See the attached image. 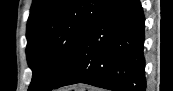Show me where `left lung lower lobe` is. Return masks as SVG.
<instances>
[{
  "instance_id": "0a47b994",
  "label": "left lung lower lobe",
  "mask_w": 173,
  "mask_h": 91,
  "mask_svg": "<svg viewBox=\"0 0 173 91\" xmlns=\"http://www.w3.org/2000/svg\"><path fill=\"white\" fill-rule=\"evenodd\" d=\"M144 14L139 0H112L87 33L62 80L113 91L146 89Z\"/></svg>"
}]
</instances>
